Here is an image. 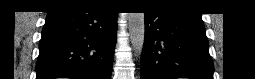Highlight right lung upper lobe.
I'll return each mask as SVG.
<instances>
[{
  "mask_svg": "<svg viewBox=\"0 0 255 79\" xmlns=\"http://www.w3.org/2000/svg\"><path fill=\"white\" fill-rule=\"evenodd\" d=\"M86 2H90V1H85V0H60V1L56 2V5L53 7V9L67 7V6L82 5Z\"/></svg>",
  "mask_w": 255,
  "mask_h": 79,
  "instance_id": "obj_1",
  "label": "right lung upper lobe"
}]
</instances>
